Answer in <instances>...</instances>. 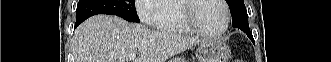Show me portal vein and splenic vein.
Segmentation results:
<instances>
[{
  "instance_id": "1",
  "label": "portal vein and splenic vein",
  "mask_w": 331,
  "mask_h": 62,
  "mask_svg": "<svg viewBox=\"0 0 331 62\" xmlns=\"http://www.w3.org/2000/svg\"><path fill=\"white\" fill-rule=\"evenodd\" d=\"M136 57V52H131V53H129L127 56H126V59H130V60H132V59H134Z\"/></svg>"
}]
</instances>
